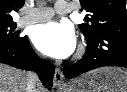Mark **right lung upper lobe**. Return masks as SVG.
I'll return each mask as SVG.
<instances>
[{"instance_id":"cb5924a9","label":"right lung upper lobe","mask_w":127,"mask_h":92,"mask_svg":"<svg viewBox=\"0 0 127 92\" xmlns=\"http://www.w3.org/2000/svg\"><path fill=\"white\" fill-rule=\"evenodd\" d=\"M24 2L25 0H0V24L14 23L9 13L21 8Z\"/></svg>"}]
</instances>
